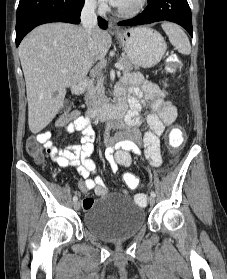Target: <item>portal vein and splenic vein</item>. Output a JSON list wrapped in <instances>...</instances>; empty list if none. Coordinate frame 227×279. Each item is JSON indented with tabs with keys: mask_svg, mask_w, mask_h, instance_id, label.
I'll list each match as a JSON object with an SVG mask.
<instances>
[{
	"mask_svg": "<svg viewBox=\"0 0 227 279\" xmlns=\"http://www.w3.org/2000/svg\"><path fill=\"white\" fill-rule=\"evenodd\" d=\"M115 67L118 69V70H123V66L120 64V63H116L115 64ZM67 70L64 69L63 72H66Z\"/></svg>",
	"mask_w": 227,
	"mask_h": 279,
	"instance_id": "18ae733b",
	"label": "portal vein and splenic vein"
}]
</instances>
